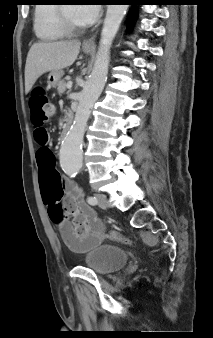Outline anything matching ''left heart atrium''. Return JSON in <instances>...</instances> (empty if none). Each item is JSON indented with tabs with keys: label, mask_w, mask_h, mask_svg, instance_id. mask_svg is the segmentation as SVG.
<instances>
[{
	"label": "left heart atrium",
	"mask_w": 213,
	"mask_h": 338,
	"mask_svg": "<svg viewBox=\"0 0 213 338\" xmlns=\"http://www.w3.org/2000/svg\"><path fill=\"white\" fill-rule=\"evenodd\" d=\"M100 9V5H79L77 18L84 24H93L100 16Z\"/></svg>",
	"instance_id": "1"
}]
</instances>
